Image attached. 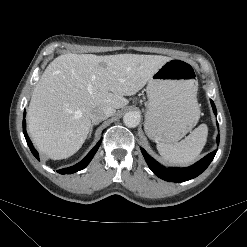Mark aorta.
<instances>
[{"label": "aorta", "instance_id": "762f6f07", "mask_svg": "<svg viewBox=\"0 0 247 247\" xmlns=\"http://www.w3.org/2000/svg\"><path fill=\"white\" fill-rule=\"evenodd\" d=\"M123 122L125 126L135 128L140 123V115L134 111L127 112L123 117Z\"/></svg>", "mask_w": 247, "mask_h": 247}]
</instances>
